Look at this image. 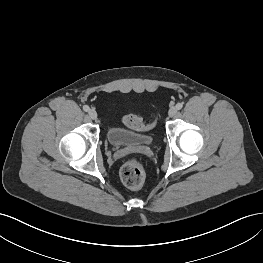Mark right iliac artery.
<instances>
[{
  "instance_id": "obj_1",
  "label": "right iliac artery",
  "mask_w": 263,
  "mask_h": 263,
  "mask_svg": "<svg viewBox=\"0 0 263 263\" xmlns=\"http://www.w3.org/2000/svg\"><path fill=\"white\" fill-rule=\"evenodd\" d=\"M89 109H90V108H89V106H88V105H84V106H83V110H84V111H86V112H87V111H89Z\"/></svg>"
}]
</instances>
